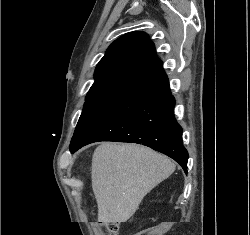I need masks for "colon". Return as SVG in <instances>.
<instances>
[{
    "mask_svg": "<svg viewBox=\"0 0 250 235\" xmlns=\"http://www.w3.org/2000/svg\"><path fill=\"white\" fill-rule=\"evenodd\" d=\"M102 226L108 235H118V224L116 222H102Z\"/></svg>",
    "mask_w": 250,
    "mask_h": 235,
    "instance_id": "1",
    "label": "colon"
}]
</instances>
